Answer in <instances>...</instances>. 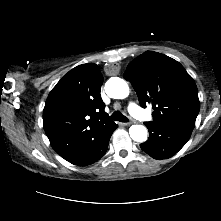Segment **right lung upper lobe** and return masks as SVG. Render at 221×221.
<instances>
[{"label":"right lung upper lobe","mask_w":221,"mask_h":221,"mask_svg":"<svg viewBox=\"0 0 221 221\" xmlns=\"http://www.w3.org/2000/svg\"><path fill=\"white\" fill-rule=\"evenodd\" d=\"M102 83L96 64H82L70 70L46 100L44 130L54 150L67 161L83 153L114 124L104 111Z\"/></svg>","instance_id":"cb5924a9"}]
</instances>
